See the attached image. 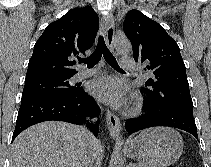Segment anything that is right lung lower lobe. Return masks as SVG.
<instances>
[{"mask_svg": "<svg viewBox=\"0 0 211 167\" xmlns=\"http://www.w3.org/2000/svg\"><path fill=\"white\" fill-rule=\"evenodd\" d=\"M100 114V108L95 100L83 88L71 94H53L21 99L15 131L12 142L24 129L44 121H65L73 124H83L86 116L94 117ZM88 128L98 135L99 122L88 123Z\"/></svg>", "mask_w": 211, "mask_h": 167, "instance_id": "98d812e1", "label": "right lung lower lobe"}]
</instances>
